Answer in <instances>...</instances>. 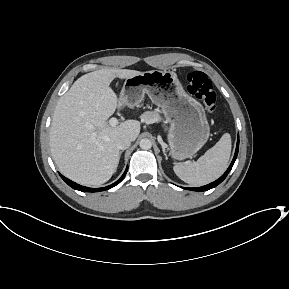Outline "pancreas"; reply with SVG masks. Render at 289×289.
I'll list each match as a JSON object with an SVG mask.
<instances>
[{
  "label": "pancreas",
  "mask_w": 289,
  "mask_h": 289,
  "mask_svg": "<svg viewBox=\"0 0 289 289\" xmlns=\"http://www.w3.org/2000/svg\"><path fill=\"white\" fill-rule=\"evenodd\" d=\"M141 119L146 123L158 122L161 117L157 111H147L142 116Z\"/></svg>",
  "instance_id": "cf45deb5"
}]
</instances>
